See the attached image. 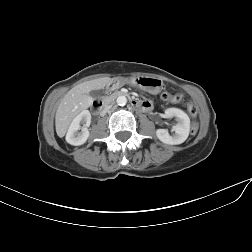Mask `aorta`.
Here are the masks:
<instances>
[{
	"mask_svg": "<svg viewBox=\"0 0 252 252\" xmlns=\"http://www.w3.org/2000/svg\"><path fill=\"white\" fill-rule=\"evenodd\" d=\"M116 102L119 106H124L127 103V98L125 96H119Z\"/></svg>",
	"mask_w": 252,
	"mask_h": 252,
	"instance_id": "aorta-1",
	"label": "aorta"
}]
</instances>
